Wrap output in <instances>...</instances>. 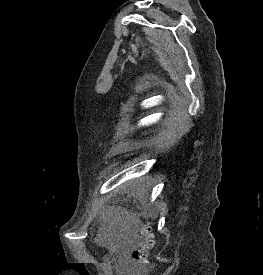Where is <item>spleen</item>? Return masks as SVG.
I'll return each instance as SVG.
<instances>
[{
	"instance_id": "obj_1",
	"label": "spleen",
	"mask_w": 263,
	"mask_h": 275,
	"mask_svg": "<svg viewBox=\"0 0 263 275\" xmlns=\"http://www.w3.org/2000/svg\"><path fill=\"white\" fill-rule=\"evenodd\" d=\"M131 188L137 198L143 200L147 192V185L145 179L139 178L131 182Z\"/></svg>"
}]
</instances>
